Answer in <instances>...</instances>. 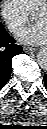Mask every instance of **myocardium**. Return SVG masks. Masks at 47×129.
<instances>
[{
    "instance_id": "1",
    "label": "myocardium",
    "mask_w": 47,
    "mask_h": 129,
    "mask_svg": "<svg viewBox=\"0 0 47 129\" xmlns=\"http://www.w3.org/2000/svg\"><path fill=\"white\" fill-rule=\"evenodd\" d=\"M45 12V14L47 15V0H44V2H42L34 11L33 13H38V12Z\"/></svg>"
}]
</instances>
